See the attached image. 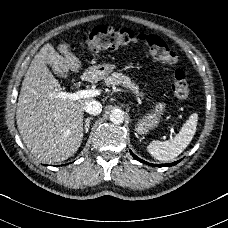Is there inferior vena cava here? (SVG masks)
<instances>
[{"label":"inferior vena cava","mask_w":228,"mask_h":228,"mask_svg":"<svg viewBox=\"0 0 228 228\" xmlns=\"http://www.w3.org/2000/svg\"><path fill=\"white\" fill-rule=\"evenodd\" d=\"M84 110L91 115H98L102 111V105L96 100L88 99L85 102Z\"/></svg>","instance_id":"1"}]
</instances>
